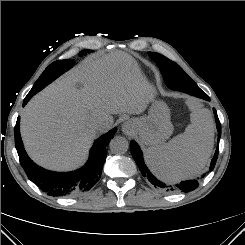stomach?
Listing matches in <instances>:
<instances>
[{
  "label": "stomach",
  "instance_id": "stomach-1",
  "mask_svg": "<svg viewBox=\"0 0 245 245\" xmlns=\"http://www.w3.org/2000/svg\"><path fill=\"white\" fill-rule=\"evenodd\" d=\"M134 130L145 145L157 146L166 141L173 132L170 110L162 101H154L149 115L132 120Z\"/></svg>",
  "mask_w": 245,
  "mask_h": 245
}]
</instances>
